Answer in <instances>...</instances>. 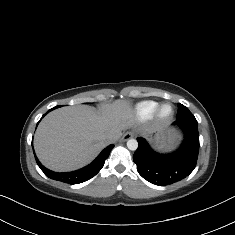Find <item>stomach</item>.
Instances as JSON below:
<instances>
[{
  "mask_svg": "<svg viewBox=\"0 0 235 235\" xmlns=\"http://www.w3.org/2000/svg\"><path fill=\"white\" fill-rule=\"evenodd\" d=\"M154 145L159 149H170L173 148L178 141L177 134L172 131H156V136L152 137Z\"/></svg>",
  "mask_w": 235,
  "mask_h": 235,
  "instance_id": "1",
  "label": "stomach"
}]
</instances>
